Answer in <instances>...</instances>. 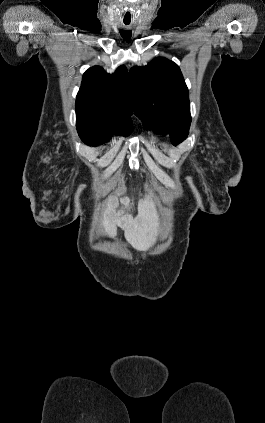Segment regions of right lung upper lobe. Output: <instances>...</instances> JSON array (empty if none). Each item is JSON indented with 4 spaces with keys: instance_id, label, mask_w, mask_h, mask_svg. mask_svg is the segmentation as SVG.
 I'll return each instance as SVG.
<instances>
[{
    "instance_id": "obj_1",
    "label": "right lung upper lobe",
    "mask_w": 265,
    "mask_h": 423,
    "mask_svg": "<svg viewBox=\"0 0 265 423\" xmlns=\"http://www.w3.org/2000/svg\"><path fill=\"white\" fill-rule=\"evenodd\" d=\"M127 75L125 66L118 67L113 75L99 66L88 69L76 97V113L108 123L130 119L133 111Z\"/></svg>"
}]
</instances>
